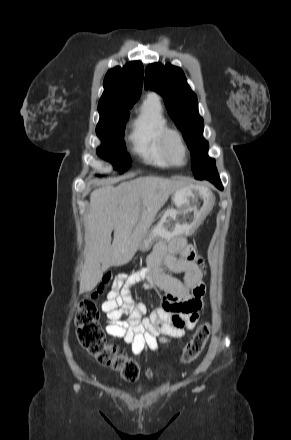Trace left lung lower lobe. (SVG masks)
<instances>
[{
	"instance_id": "left-lung-lower-lobe-1",
	"label": "left lung lower lobe",
	"mask_w": 291,
	"mask_h": 440,
	"mask_svg": "<svg viewBox=\"0 0 291 440\" xmlns=\"http://www.w3.org/2000/svg\"><path fill=\"white\" fill-rule=\"evenodd\" d=\"M205 180L210 181V182L213 183L217 188H219V189H221V190L223 189V186H222V183H221V181H220V178H219L218 174H216V175H212V176H210V177H206Z\"/></svg>"
}]
</instances>
